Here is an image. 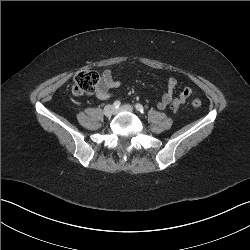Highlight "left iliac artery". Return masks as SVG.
<instances>
[{
	"label": "left iliac artery",
	"instance_id": "44dca946",
	"mask_svg": "<svg viewBox=\"0 0 250 250\" xmlns=\"http://www.w3.org/2000/svg\"><path fill=\"white\" fill-rule=\"evenodd\" d=\"M135 108H136L139 112L144 113V107H143L141 104L137 103V104L135 105Z\"/></svg>",
	"mask_w": 250,
	"mask_h": 250
}]
</instances>
